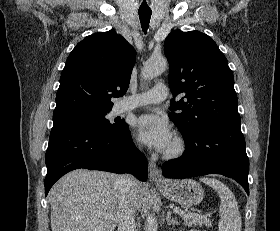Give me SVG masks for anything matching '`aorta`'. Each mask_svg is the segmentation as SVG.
Instances as JSON below:
<instances>
[{"label": "aorta", "mask_w": 280, "mask_h": 231, "mask_svg": "<svg viewBox=\"0 0 280 231\" xmlns=\"http://www.w3.org/2000/svg\"><path fill=\"white\" fill-rule=\"evenodd\" d=\"M167 68L168 64L165 58H160V60H147L142 68L141 76H143L144 80H152V78L163 74ZM157 227L158 223L155 213H149L144 231H157Z\"/></svg>", "instance_id": "1"}]
</instances>
